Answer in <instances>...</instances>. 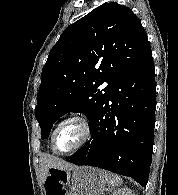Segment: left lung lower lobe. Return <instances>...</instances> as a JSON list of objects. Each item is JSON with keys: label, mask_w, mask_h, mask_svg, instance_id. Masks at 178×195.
I'll use <instances>...</instances> for the list:
<instances>
[{"label": "left lung lower lobe", "mask_w": 178, "mask_h": 195, "mask_svg": "<svg viewBox=\"0 0 178 195\" xmlns=\"http://www.w3.org/2000/svg\"><path fill=\"white\" fill-rule=\"evenodd\" d=\"M155 94V69L150 51L110 88L90 124V141L69 162L129 176L145 186L152 162Z\"/></svg>", "instance_id": "left-lung-lower-lobe-1"}]
</instances>
